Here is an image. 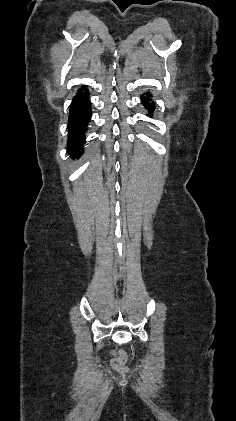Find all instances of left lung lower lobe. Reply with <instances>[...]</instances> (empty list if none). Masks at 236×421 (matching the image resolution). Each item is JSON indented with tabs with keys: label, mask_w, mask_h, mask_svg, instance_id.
Wrapping results in <instances>:
<instances>
[{
	"label": "left lung lower lobe",
	"mask_w": 236,
	"mask_h": 421,
	"mask_svg": "<svg viewBox=\"0 0 236 421\" xmlns=\"http://www.w3.org/2000/svg\"><path fill=\"white\" fill-rule=\"evenodd\" d=\"M150 96V95H148ZM142 99V104L144 105V107L148 110V115L151 117L152 113L155 110V104L154 103H150V97H145L144 95L141 96Z\"/></svg>",
	"instance_id": "0a47b994"
}]
</instances>
